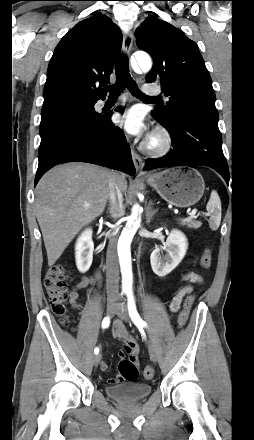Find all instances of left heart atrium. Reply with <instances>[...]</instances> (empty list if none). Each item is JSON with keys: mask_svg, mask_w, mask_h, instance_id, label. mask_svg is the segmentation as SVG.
<instances>
[{"mask_svg": "<svg viewBox=\"0 0 254 440\" xmlns=\"http://www.w3.org/2000/svg\"><path fill=\"white\" fill-rule=\"evenodd\" d=\"M117 123L124 128L126 132L134 136H142L147 132V127L143 121V115L137 108L127 110L123 115L117 118Z\"/></svg>", "mask_w": 254, "mask_h": 440, "instance_id": "left-heart-atrium-1", "label": "left heart atrium"}]
</instances>
